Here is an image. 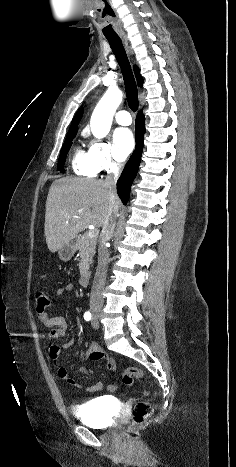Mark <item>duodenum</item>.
<instances>
[{
	"label": "duodenum",
	"instance_id": "1",
	"mask_svg": "<svg viewBox=\"0 0 236 467\" xmlns=\"http://www.w3.org/2000/svg\"><path fill=\"white\" fill-rule=\"evenodd\" d=\"M89 282H90V275L87 271H84L80 277V285L82 287H87L89 285Z\"/></svg>",
	"mask_w": 236,
	"mask_h": 467
}]
</instances>
